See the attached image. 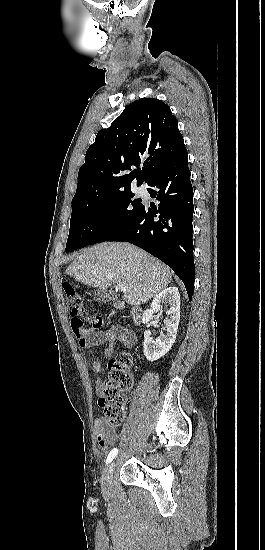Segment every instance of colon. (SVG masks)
Returning a JSON list of instances; mask_svg holds the SVG:
<instances>
[{
	"label": "colon",
	"mask_w": 265,
	"mask_h": 550,
	"mask_svg": "<svg viewBox=\"0 0 265 550\" xmlns=\"http://www.w3.org/2000/svg\"><path fill=\"white\" fill-rule=\"evenodd\" d=\"M63 290L74 329L83 327L84 321H90L94 329H100L103 320L98 316L89 317L84 299L73 285L64 283ZM131 368L132 357L128 352H120L109 363V376L99 400L103 419L109 427H119L124 422L126 395L134 383Z\"/></svg>",
	"instance_id": "colon-1"
}]
</instances>
